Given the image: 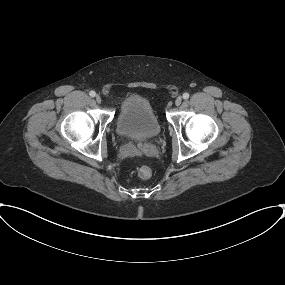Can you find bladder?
<instances>
[{
  "mask_svg": "<svg viewBox=\"0 0 285 285\" xmlns=\"http://www.w3.org/2000/svg\"><path fill=\"white\" fill-rule=\"evenodd\" d=\"M117 131L136 141L149 140L159 134V120L146 97L132 94L124 99L117 116Z\"/></svg>",
  "mask_w": 285,
  "mask_h": 285,
  "instance_id": "1",
  "label": "bladder"
}]
</instances>
